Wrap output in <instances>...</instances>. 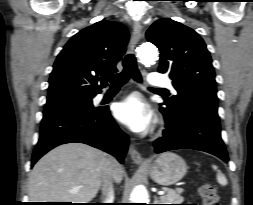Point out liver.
Instances as JSON below:
<instances>
[{
    "instance_id": "obj_1",
    "label": "liver",
    "mask_w": 253,
    "mask_h": 205,
    "mask_svg": "<svg viewBox=\"0 0 253 205\" xmlns=\"http://www.w3.org/2000/svg\"><path fill=\"white\" fill-rule=\"evenodd\" d=\"M110 159L101 150L81 143L60 145L43 156L33 167L28 180L32 202L89 203L102 185ZM112 177L117 183L124 170L111 160ZM79 187L77 191L73 189Z\"/></svg>"
}]
</instances>
